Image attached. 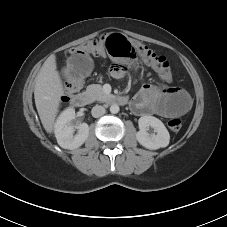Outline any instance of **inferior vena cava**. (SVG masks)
I'll return each instance as SVG.
<instances>
[{
	"label": "inferior vena cava",
	"instance_id": "inferior-vena-cava-1",
	"mask_svg": "<svg viewBox=\"0 0 227 227\" xmlns=\"http://www.w3.org/2000/svg\"><path fill=\"white\" fill-rule=\"evenodd\" d=\"M106 112L105 108L103 106L96 105L92 108V116L95 118H98L102 115H104Z\"/></svg>",
	"mask_w": 227,
	"mask_h": 227
}]
</instances>
